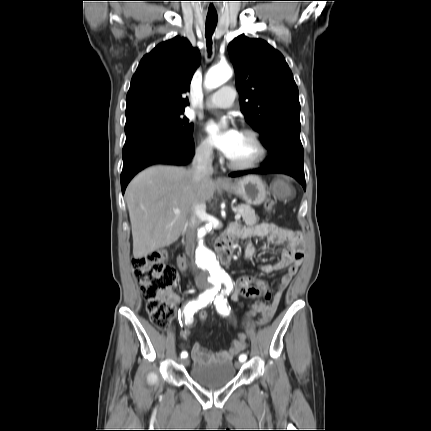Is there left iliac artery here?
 <instances>
[{
    "label": "left iliac artery",
    "instance_id": "44dca946",
    "mask_svg": "<svg viewBox=\"0 0 431 431\" xmlns=\"http://www.w3.org/2000/svg\"><path fill=\"white\" fill-rule=\"evenodd\" d=\"M223 283L225 284V286H226V288H225V290H223L220 294H218L217 292L214 294V296H215V298H214V296H213V300H214V304H215V306H216V309H217V311L220 313V314H223V315H228L229 314V312H230V307H228V305H227V299L225 298V296L227 295V294H229L230 293V291H231V285H232V280L231 279H224L223 280ZM246 358H247V356L245 355V354H243V355H241L240 357H239V361L240 362H243V361H245L246 360Z\"/></svg>",
    "mask_w": 431,
    "mask_h": 431
}]
</instances>
